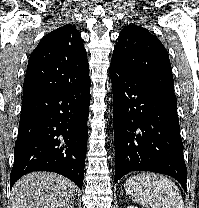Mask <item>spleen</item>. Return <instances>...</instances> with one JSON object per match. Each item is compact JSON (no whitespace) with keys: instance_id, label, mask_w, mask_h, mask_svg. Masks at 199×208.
<instances>
[{"instance_id":"1","label":"spleen","mask_w":199,"mask_h":208,"mask_svg":"<svg viewBox=\"0 0 199 208\" xmlns=\"http://www.w3.org/2000/svg\"><path fill=\"white\" fill-rule=\"evenodd\" d=\"M124 189L133 201L146 208H184L178 187L163 175H134L126 180Z\"/></svg>"}]
</instances>
